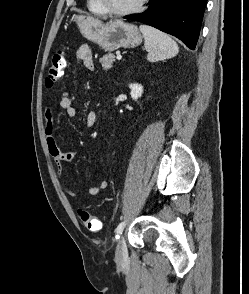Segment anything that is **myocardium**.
<instances>
[{
  "label": "myocardium",
  "mask_w": 249,
  "mask_h": 294,
  "mask_svg": "<svg viewBox=\"0 0 249 294\" xmlns=\"http://www.w3.org/2000/svg\"><path fill=\"white\" fill-rule=\"evenodd\" d=\"M98 5L104 11V14L113 15V16H127L134 13H137L143 9L148 0H139L134 6L124 9V10H114L106 6L104 0H96Z\"/></svg>",
  "instance_id": "obj_1"
}]
</instances>
